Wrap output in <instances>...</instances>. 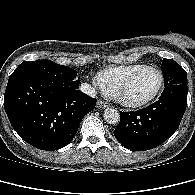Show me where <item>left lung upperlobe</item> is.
Masks as SVG:
<instances>
[{
	"label": "left lung upper lobe",
	"mask_w": 195,
	"mask_h": 195,
	"mask_svg": "<svg viewBox=\"0 0 195 195\" xmlns=\"http://www.w3.org/2000/svg\"><path fill=\"white\" fill-rule=\"evenodd\" d=\"M161 69L164 76V86L187 84L186 71L174 60L163 58Z\"/></svg>",
	"instance_id": "1"
}]
</instances>
